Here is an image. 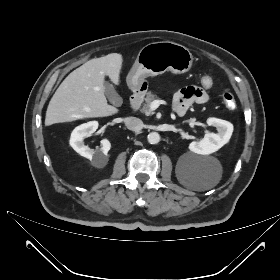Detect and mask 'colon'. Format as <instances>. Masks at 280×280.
Here are the masks:
<instances>
[{
    "label": "colon",
    "instance_id": "5ec220e1",
    "mask_svg": "<svg viewBox=\"0 0 280 280\" xmlns=\"http://www.w3.org/2000/svg\"><path fill=\"white\" fill-rule=\"evenodd\" d=\"M198 83H199L200 88L203 90H208L213 85L212 80L206 75L201 76L198 80ZM222 100H223L224 105L228 109H230V110L235 109L236 101H235V98L232 93H230L228 91L223 92Z\"/></svg>",
    "mask_w": 280,
    "mask_h": 280
}]
</instances>
